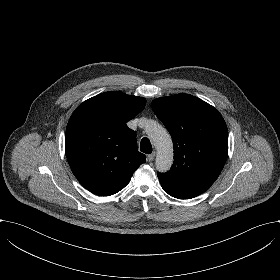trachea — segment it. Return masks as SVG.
<instances>
[{
  "label": "trachea",
  "instance_id": "trachea-1",
  "mask_svg": "<svg viewBox=\"0 0 280 280\" xmlns=\"http://www.w3.org/2000/svg\"><path fill=\"white\" fill-rule=\"evenodd\" d=\"M140 150H141V152H144L146 154H150L152 152V145H151L150 140L148 138L144 137L141 140Z\"/></svg>",
  "mask_w": 280,
  "mask_h": 280
}]
</instances>
